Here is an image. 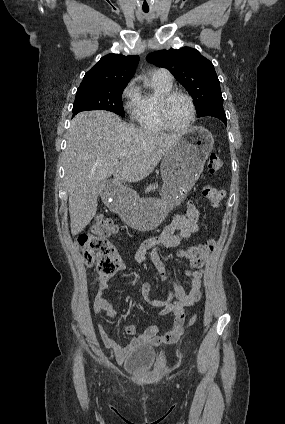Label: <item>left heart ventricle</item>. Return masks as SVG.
Returning a JSON list of instances; mask_svg holds the SVG:
<instances>
[{
    "instance_id": "left-heart-ventricle-1",
    "label": "left heart ventricle",
    "mask_w": 285,
    "mask_h": 424,
    "mask_svg": "<svg viewBox=\"0 0 285 424\" xmlns=\"http://www.w3.org/2000/svg\"><path fill=\"white\" fill-rule=\"evenodd\" d=\"M191 108L186 98L174 97L167 106V117L174 126H183L189 119Z\"/></svg>"
}]
</instances>
